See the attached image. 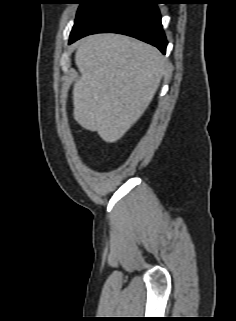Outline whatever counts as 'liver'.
<instances>
[{
    "instance_id": "1",
    "label": "liver",
    "mask_w": 236,
    "mask_h": 321,
    "mask_svg": "<svg viewBox=\"0 0 236 321\" xmlns=\"http://www.w3.org/2000/svg\"><path fill=\"white\" fill-rule=\"evenodd\" d=\"M75 63L81 77L73 87V117L107 143L121 139L139 120L167 69L155 47L111 33L80 40Z\"/></svg>"
}]
</instances>
